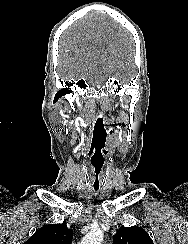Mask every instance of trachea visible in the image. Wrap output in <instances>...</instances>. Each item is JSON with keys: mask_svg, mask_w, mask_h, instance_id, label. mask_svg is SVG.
<instances>
[{"mask_svg": "<svg viewBox=\"0 0 188 244\" xmlns=\"http://www.w3.org/2000/svg\"><path fill=\"white\" fill-rule=\"evenodd\" d=\"M93 186L94 188H101L102 180H93Z\"/></svg>", "mask_w": 188, "mask_h": 244, "instance_id": "1", "label": "trachea"}]
</instances>
